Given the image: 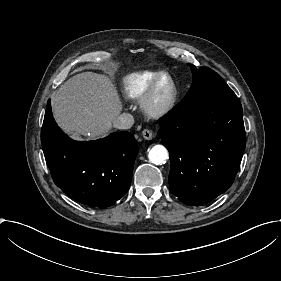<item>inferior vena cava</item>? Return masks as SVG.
<instances>
[{
  "mask_svg": "<svg viewBox=\"0 0 281 281\" xmlns=\"http://www.w3.org/2000/svg\"><path fill=\"white\" fill-rule=\"evenodd\" d=\"M134 124V118L129 113H122L119 117L113 122V126L118 129H129Z\"/></svg>",
  "mask_w": 281,
  "mask_h": 281,
  "instance_id": "1",
  "label": "inferior vena cava"
}]
</instances>
